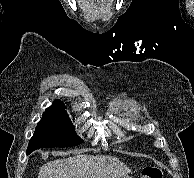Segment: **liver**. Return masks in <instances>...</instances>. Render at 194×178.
Listing matches in <instances>:
<instances>
[{
	"label": "liver",
	"mask_w": 194,
	"mask_h": 178,
	"mask_svg": "<svg viewBox=\"0 0 194 178\" xmlns=\"http://www.w3.org/2000/svg\"><path fill=\"white\" fill-rule=\"evenodd\" d=\"M129 172L116 157L83 154L48 162L40 168L38 178H117Z\"/></svg>",
	"instance_id": "liver-1"
}]
</instances>
